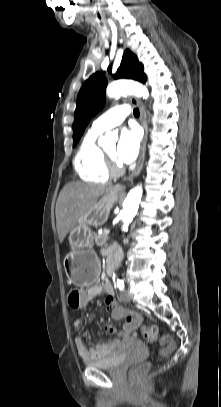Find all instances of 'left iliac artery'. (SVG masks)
Listing matches in <instances>:
<instances>
[{
	"label": "left iliac artery",
	"instance_id": "1",
	"mask_svg": "<svg viewBox=\"0 0 221 407\" xmlns=\"http://www.w3.org/2000/svg\"><path fill=\"white\" fill-rule=\"evenodd\" d=\"M117 287L119 288V290L123 291L125 288L124 282L122 280H118Z\"/></svg>",
	"mask_w": 221,
	"mask_h": 407
}]
</instances>
